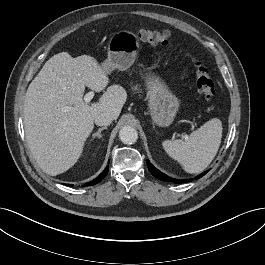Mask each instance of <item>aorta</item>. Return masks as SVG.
Instances as JSON below:
<instances>
[{
	"label": "aorta",
	"instance_id": "obj_1",
	"mask_svg": "<svg viewBox=\"0 0 265 265\" xmlns=\"http://www.w3.org/2000/svg\"><path fill=\"white\" fill-rule=\"evenodd\" d=\"M119 138L124 144H133L138 139V133L132 126H124L119 132Z\"/></svg>",
	"mask_w": 265,
	"mask_h": 265
}]
</instances>
